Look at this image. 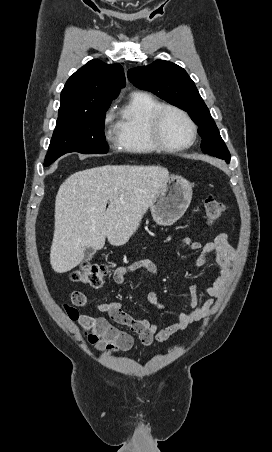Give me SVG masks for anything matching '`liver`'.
<instances>
[{
	"label": "liver",
	"instance_id": "obj_1",
	"mask_svg": "<svg viewBox=\"0 0 272 452\" xmlns=\"http://www.w3.org/2000/svg\"><path fill=\"white\" fill-rule=\"evenodd\" d=\"M168 176L160 166L131 165H105L70 175L55 200L53 270H72L83 261L86 248L102 249L106 237L113 246L126 244Z\"/></svg>",
	"mask_w": 272,
	"mask_h": 452
}]
</instances>
